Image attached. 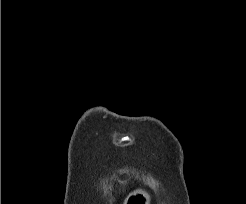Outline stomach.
I'll return each instance as SVG.
<instances>
[{"instance_id": "1", "label": "stomach", "mask_w": 246, "mask_h": 204, "mask_svg": "<svg viewBox=\"0 0 246 204\" xmlns=\"http://www.w3.org/2000/svg\"><path fill=\"white\" fill-rule=\"evenodd\" d=\"M151 197L144 190H136L130 193L123 204H150Z\"/></svg>"}]
</instances>
